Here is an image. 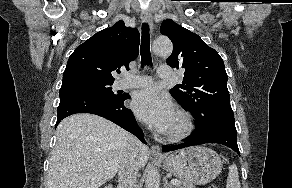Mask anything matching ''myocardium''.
<instances>
[{"instance_id": "1", "label": "myocardium", "mask_w": 292, "mask_h": 188, "mask_svg": "<svg viewBox=\"0 0 292 188\" xmlns=\"http://www.w3.org/2000/svg\"><path fill=\"white\" fill-rule=\"evenodd\" d=\"M177 116L181 121V126L177 130L166 133V139L170 142L181 141L187 138L194 130V122L188 112L179 110Z\"/></svg>"}]
</instances>
